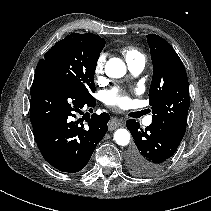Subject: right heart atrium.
<instances>
[{"label":"right heart atrium","instance_id":"d8ad5b80","mask_svg":"<svg viewBox=\"0 0 211 211\" xmlns=\"http://www.w3.org/2000/svg\"><path fill=\"white\" fill-rule=\"evenodd\" d=\"M105 57L101 55L94 65V75L97 79L101 78L104 73Z\"/></svg>","mask_w":211,"mask_h":211}]
</instances>
